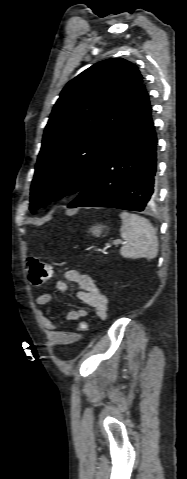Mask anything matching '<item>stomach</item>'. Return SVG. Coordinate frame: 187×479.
Segmentation results:
<instances>
[{
    "instance_id": "1",
    "label": "stomach",
    "mask_w": 187,
    "mask_h": 479,
    "mask_svg": "<svg viewBox=\"0 0 187 479\" xmlns=\"http://www.w3.org/2000/svg\"><path fill=\"white\" fill-rule=\"evenodd\" d=\"M103 228H105V226H102V225H96V226H93L90 231L91 233L94 235V236H100V234L102 233L103 231Z\"/></svg>"
}]
</instances>
